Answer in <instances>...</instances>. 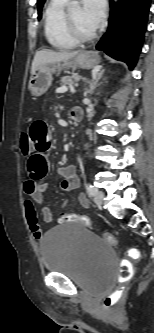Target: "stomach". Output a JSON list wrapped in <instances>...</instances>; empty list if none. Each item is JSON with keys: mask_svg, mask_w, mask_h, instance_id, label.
<instances>
[{"mask_svg": "<svg viewBox=\"0 0 154 333\" xmlns=\"http://www.w3.org/2000/svg\"><path fill=\"white\" fill-rule=\"evenodd\" d=\"M100 63L99 56L93 51H82L71 61L52 65H41L31 74L28 88L33 96H41L52 84V74L65 68L80 67L91 69Z\"/></svg>", "mask_w": 154, "mask_h": 333, "instance_id": "0dacf381", "label": "stomach"}]
</instances>
